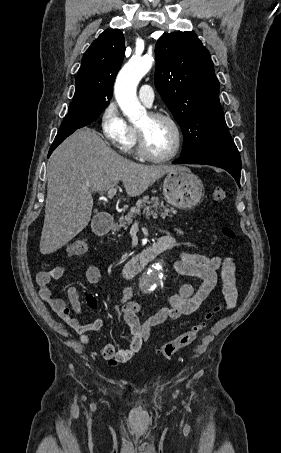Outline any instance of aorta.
I'll return each instance as SVG.
<instances>
[{
  "label": "aorta",
  "instance_id": "obj_1",
  "mask_svg": "<svg viewBox=\"0 0 281 453\" xmlns=\"http://www.w3.org/2000/svg\"><path fill=\"white\" fill-rule=\"evenodd\" d=\"M153 57H135L128 61L120 70L116 78L114 91L115 98L123 113L132 123H137L146 117V109L140 104L136 90L138 83L153 65ZM159 263L153 265L152 271H146L140 277L139 288L143 293L153 292L162 282L155 270H159Z\"/></svg>",
  "mask_w": 281,
  "mask_h": 453
}]
</instances>
